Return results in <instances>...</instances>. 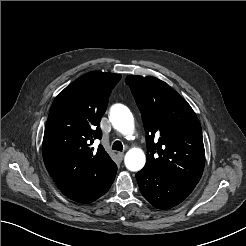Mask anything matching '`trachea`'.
Instances as JSON below:
<instances>
[{
  "label": "trachea",
  "instance_id": "1",
  "mask_svg": "<svg viewBox=\"0 0 246 246\" xmlns=\"http://www.w3.org/2000/svg\"><path fill=\"white\" fill-rule=\"evenodd\" d=\"M113 150L121 151L123 149V145L120 141H115L112 146Z\"/></svg>",
  "mask_w": 246,
  "mask_h": 246
}]
</instances>
